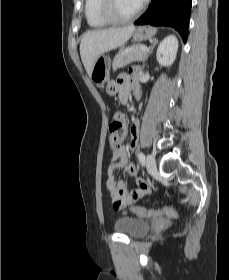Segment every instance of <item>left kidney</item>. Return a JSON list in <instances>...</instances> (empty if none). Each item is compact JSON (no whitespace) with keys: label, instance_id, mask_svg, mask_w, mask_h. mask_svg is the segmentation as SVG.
I'll list each match as a JSON object with an SVG mask.
<instances>
[{"label":"left kidney","instance_id":"obj_1","mask_svg":"<svg viewBox=\"0 0 229 280\" xmlns=\"http://www.w3.org/2000/svg\"><path fill=\"white\" fill-rule=\"evenodd\" d=\"M178 40L176 36H167L159 45L156 53L157 61L161 66L170 67L176 59Z\"/></svg>","mask_w":229,"mask_h":280}]
</instances>
